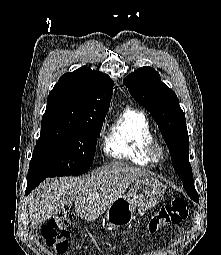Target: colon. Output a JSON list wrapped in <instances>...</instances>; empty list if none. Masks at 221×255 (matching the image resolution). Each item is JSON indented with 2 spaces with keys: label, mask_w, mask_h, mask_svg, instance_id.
Returning <instances> with one entry per match:
<instances>
[{
  "label": "colon",
  "mask_w": 221,
  "mask_h": 255,
  "mask_svg": "<svg viewBox=\"0 0 221 255\" xmlns=\"http://www.w3.org/2000/svg\"><path fill=\"white\" fill-rule=\"evenodd\" d=\"M187 216L188 206L186 200L175 198L150 218L147 225L148 231L154 233L165 226L178 224ZM72 224L73 216L66 209L51 217L42 228V236L46 245L58 254H65L69 247Z\"/></svg>",
  "instance_id": "5ec220e1"
}]
</instances>
